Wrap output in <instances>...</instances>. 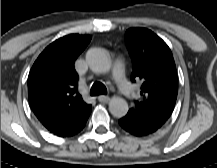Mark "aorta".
Wrapping results in <instances>:
<instances>
[{
    "label": "aorta",
    "instance_id": "762f6f07",
    "mask_svg": "<svg viewBox=\"0 0 217 168\" xmlns=\"http://www.w3.org/2000/svg\"><path fill=\"white\" fill-rule=\"evenodd\" d=\"M86 62L90 69L96 73L108 72L111 68L109 55L101 48H91L86 54ZM128 104L121 97H112L109 102V111L116 117L121 118L128 112Z\"/></svg>",
    "mask_w": 217,
    "mask_h": 168
}]
</instances>
